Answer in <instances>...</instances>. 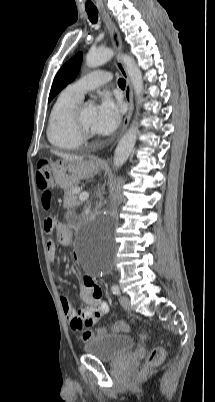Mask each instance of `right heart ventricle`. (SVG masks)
I'll return each mask as SVG.
<instances>
[{
	"label": "right heart ventricle",
	"mask_w": 215,
	"mask_h": 402,
	"mask_svg": "<svg viewBox=\"0 0 215 402\" xmlns=\"http://www.w3.org/2000/svg\"><path fill=\"white\" fill-rule=\"evenodd\" d=\"M81 100L66 88L54 101L48 119L47 138L55 148L73 150L81 146L83 140L72 126V112Z\"/></svg>",
	"instance_id": "right-heart-ventricle-1"
}]
</instances>
